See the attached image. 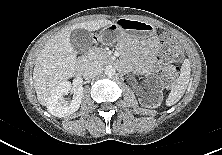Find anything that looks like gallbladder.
<instances>
[{
  "mask_svg": "<svg viewBox=\"0 0 222 155\" xmlns=\"http://www.w3.org/2000/svg\"><path fill=\"white\" fill-rule=\"evenodd\" d=\"M70 42L78 53L86 52L92 45L91 34L84 29H75L70 35Z\"/></svg>",
  "mask_w": 222,
  "mask_h": 155,
  "instance_id": "obj_1",
  "label": "gallbladder"
}]
</instances>
